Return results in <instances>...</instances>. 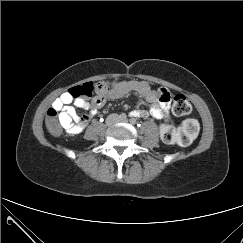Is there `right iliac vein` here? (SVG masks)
Returning <instances> with one entry per match:
<instances>
[{
    "mask_svg": "<svg viewBox=\"0 0 243 243\" xmlns=\"http://www.w3.org/2000/svg\"><path fill=\"white\" fill-rule=\"evenodd\" d=\"M114 120H115V117H111L110 119H108L107 122H106L107 125L112 124L114 122Z\"/></svg>",
    "mask_w": 243,
    "mask_h": 243,
    "instance_id": "63e3f726",
    "label": "right iliac vein"
}]
</instances>
